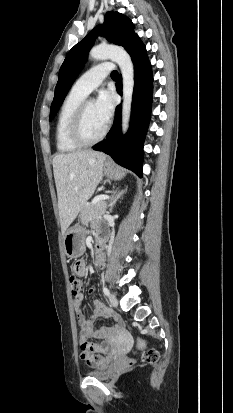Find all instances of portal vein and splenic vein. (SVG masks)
Here are the masks:
<instances>
[{
	"instance_id": "obj_1",
	"label": "portal vein and splenic vein",
	"mask_w": 233,
	"mask_h": 413,
	"mask_svg": "<svg viewBox=\"0 0 233 413\" xmlns=\"http://www.w3.org/2000/svg\"><path fill=\"white\" fill-rule=\"evenodd\" d=\"M107 199H109L108 195H98L92 200V204H96L97 202L101 200H107Z\"/></svg>"
}]
</instances>
